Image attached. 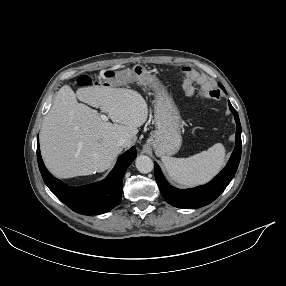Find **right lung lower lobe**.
<instances>
[{
	"instance_id": "98d812e1",
	"label": "right lung lower lobe",
	"mask_w": 286,
	"mask_h": 286,
	"mask_svg": "<svg viewBox=\"0 0 286 286\" xmlns=\"http://www.w3.org/2000/svg\"><path fill=\"white\" fill-rule=\"evenodd\" d=\"M136 155L135 147L121 155L115 168L101 182L82 187H68L46 169L40 154L39 140H37V160L44 182L60 201L82 215L102 214L119 204L123 176Z\"/></svg>"
}]
</instances>
